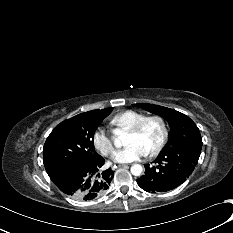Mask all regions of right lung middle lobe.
I'll return each instance as SVG.
<instances>
[{
	"label": "right lung middle lobe",
	"instance_id": "1",
	"mask_svg": "<svg viewBox=\"0 0 233 233\" xmlns=\"http://www.w3.org/2000/svg\"><path fill=\"white\" fill-rule=\"evenodd\" d=\"M113 108L79 114L57 125L43 147V162L52 181L71 167L92 162L100 157L93 137L99 124Z\"/></svg>",
	"mask_w": 233,
	"mask_h": 233
}]
</instances>
